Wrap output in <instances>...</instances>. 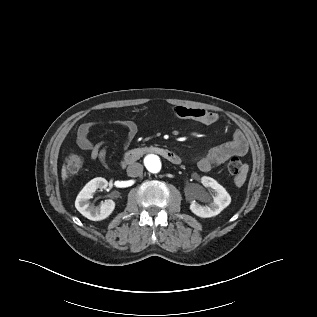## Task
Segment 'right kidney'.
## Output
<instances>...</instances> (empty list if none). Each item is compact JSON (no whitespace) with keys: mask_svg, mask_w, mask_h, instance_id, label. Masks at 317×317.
I'll use <instances>...</instances> for the list:
<instances>
[{"mask_svg":"<svg viewBox=\"0 0 317 317\" xmlns=\"http://www.w3.org/2000/svg\"><path fill=\"white\" fill-rule=\"evenodd\" d=\"M107 186V180L101 177L89 181L79 192L75 200L76 209L87 219L93 221H100L107 218L115 208V202L113 200L102 201L99 206L89 204V199L93 197V193H95L97 189L102 190Z\"/></svg>","mask_w":317,"mask_h":317,"instance_id":"1","label":"right kidney"}]
</instances>
